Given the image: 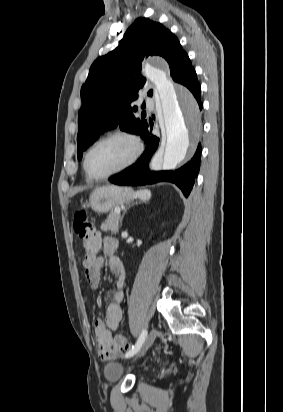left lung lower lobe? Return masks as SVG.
Returning a JSON list of instances; mask_svg holds the SVG:
<instances>
[{
    "label": "left lung lower lobe",
    "instance_id": "1",
    "mask_svg": "<svg viewBox=\"0 0 283 412\" xmlns=\"http://www.w3.org/2000/svg\"><path fill=\"white\" fill-rule=\"evenodd\" d=\"M178 83L186 86L194 95L199 103L200 109H202V103L200 102L201 88L197 80L196 72L193 69ZM152 126L148 124L140 135L146 143L145 152L141 155L137 163L126 168L119 174L111 176L109 181L117 185H146L155 184L158 182H171L177 185L183 192L184 196L188 197L192 187L194 185L195 177L198 174L200 168L201 146L198 145L193 158L184 166L175 171H150L148 163L155 153L159 138L152 133Z\"/></svg>",
    "mask_w": 283,
    "mask_h": 412
}]
</instances>
